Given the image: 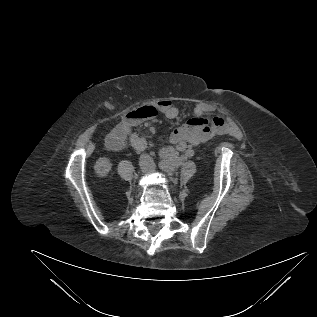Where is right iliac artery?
Instances as JSON below:
<instances>
[{
  "label": "right iliac artery",
  "instance_id": "1",
  "mask_svg": "<svg viewBox=\"0 0 317 317\" xmlns=\"http://www.w3.org/2000/svg\"><path fill=\"white\" fill-rule=\"evenodd\" d=\"M166 167V164L165 163H163V162H161L160 164H159V168H165Z\"/></svg>",
  "mask_w": 317,
  "mask_h": 317
}]
</instances>
